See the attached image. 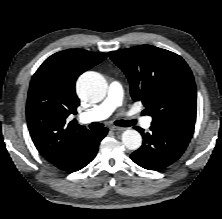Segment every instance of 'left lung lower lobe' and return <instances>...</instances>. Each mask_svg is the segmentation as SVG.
I'll return each mask as SVG.
<instances>
[{"instance_id":"obj_1","label":"left lung lower lobe","mask_w":222,"mask_h":219,"mask_svg":"<svg viewBox=\"0 0 222 219\" xmlns=\"http://www.w3.org/2000/svg\"><path fill=\"white\" fill-rule=\"evenodd\" d=\"M135 128L141 133L143 144L130 158L148 170L158 171L169 166L180 158L190 142V139L165 128L151 126L146 134L140 127Z\"/></svg>"}]
</instances>
